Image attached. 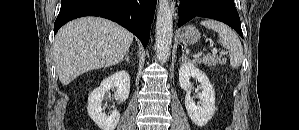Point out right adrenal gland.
<instances>
[{
  "instance_id": "right-adrenal-gland-1",
  "label": "right adrenal gland",
  "mask_w": 299,
  "mask_h": 130,
  "mask_svg": "<svg viewBox=\"0 0 299 130\" xmlns=\"http://www.w3.org/2000/svg\"><path fill=\"white\" fill-rule=\"evenodd\" d=\"M124 60L130 64L129 55L126 53ZM122 62V61H121Z\"/></svg>"
}]
</instances>
